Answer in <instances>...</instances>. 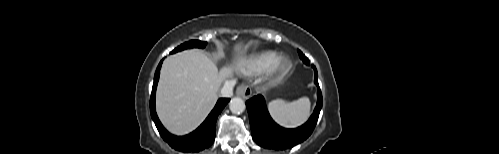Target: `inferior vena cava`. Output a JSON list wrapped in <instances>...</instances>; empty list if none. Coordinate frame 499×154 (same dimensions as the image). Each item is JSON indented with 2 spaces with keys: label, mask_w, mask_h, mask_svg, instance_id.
<instances>
[{
  "label": "inferior vena cava",
  "mask_w": 499,
  "mask_h": 154,
  "mask_svg": "<svg viewBox=\"0 0 499 154\" xmlns=\"http://www.w3.org/2000/svg\"><path fill=\"white\" fill-rule=\"evenodd\" d=\"M235 84H236V81L234 79L227 80L220 90V96L221 97H232L233 87L235 86Z\"/></svg>",
  "instance_id": "inferior-vena-cava-1"
}]
</instances>
